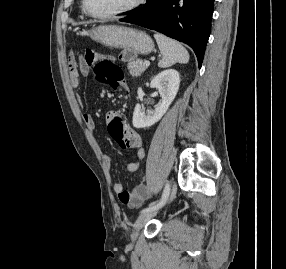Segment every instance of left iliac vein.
Returning a JSON list of instances; mask_svg holds the SVG:
<instances>
[{"mask_svg": "<svg viewBox=\"0 0 286 269\" xmlns=\"http://www.w3.org/2000/svg\"><path fill=\"white\" fill-rule=\"evenodd\" d=\"M176 193V185H173L172 191L170 193V196L168 197L167 203L171 202L175 196ZM158 210H150L143 212L139 215L137 218L134 228H133V233H132V239L135 240L136 237L138 236L140 230L144 227L147 221H149L152 217H154L157 214Z\"/></svg>", "mask_w": 286, "mask_h": 269, "instance_id": "4c4485c4", "label": "left iliac vein"}]
</instances>
